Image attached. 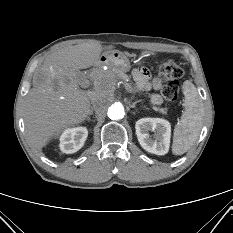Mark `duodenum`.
Wrapping results in <instances>:
<instances>
[{
	"label": "duodenum",
	"mask_w": 233,
	"mask_h": 233,
	"mask_svg": "<svg viewBox=\"0 0 233 233\" xmlns=\"http://www.w3.org/2000/svg\"><path fill=\"white\" fill-rule=\"evenodd\" d=\"M103 64V61L102 60H98L97 62H96V65L97 66H101Z\"/></svg>",
	"instance_id": "410a0bca"
}]
</instances>
